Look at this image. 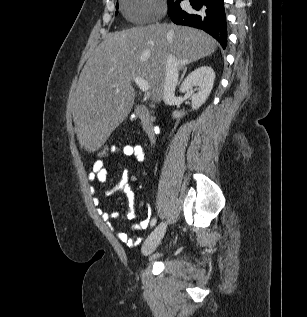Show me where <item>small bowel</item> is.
Segmentation results:
<instances>
[{
  "label": "small bowel",
  "mask_w": 307,
  "mask_h": 317,
  "mask_svg": "<svg viewBox=\"0 0 307 317\" xmlns=\"http://www.w3.org/2000/svg\"><path fill=\"white\" fill-rule=\"evenodd\" d=\"M113 154L115 155H124L126 157H133L138 162H143L145 159V153L143 148L139 144H125V145H116L113 149ZM108 168L106 167V163L102 161L96 160L92 166V175L91 178L97 179L98 182L104 183L108 176ZM130 180L132 177L127 173L119 187L115 190H111L108 194H113L116 190L123 192L127 198L128 202V211L125 215L127 220H133L135 217L134 213V205H135V194L130 185ZM95 204H99V199H94ZM101 218L105 222H109L111 219H118L120 217L119 212H100ZM152 221V220H151ZM148 225L147 221H143L135 226L136 229H144ZM118 238L125 243L129 247L136 246L139 243V240L131 238L125 232H117Z\"/></svg>",
  "instance_id": "1"
}]
</instances>
